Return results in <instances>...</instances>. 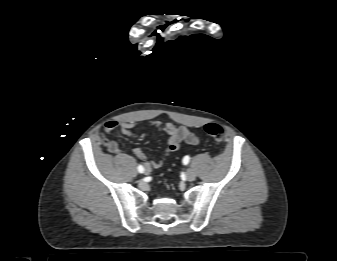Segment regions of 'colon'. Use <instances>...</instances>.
<instances>
[{"instance_id": "colon-1", "label": "colon", "mask_w": 337, "mask_h": 261, "mask_svg": "<svg viewBox=\"0 0 337 261\" xmlns=\"http://www.w3.org/2000/svg\"><path fill=\"white\" fill-rule=\"evenodd\" d=\"M205 132L217 142L223 140V129L216 123H208L204 126Z\"/></svg>"}]
</instances>
